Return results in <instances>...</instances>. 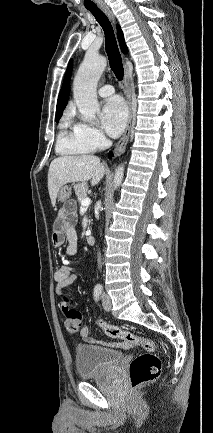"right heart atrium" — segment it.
<instances>
[{
	"mask_svg": "<svg viewBox=\"0 0 213 433\" xmlns=\"http://www.w3.org/2000/svg\"><path fill=\"white\" fill-rule=\"evenodd\" d=\"M76 125L80 134L93 147V149H100L106 145V137L99 128L85 123H78Z\"/></svg>",
	"mask_w": 213,
	"mask_h": 433,
	"instance_id": "obj_1",
	"label": "right heart atrium"
}]
</instances>
